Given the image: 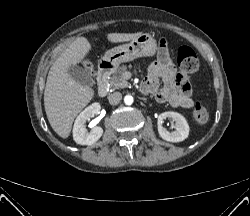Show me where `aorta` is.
Listing matches in <instances>:
<instances>
[{
  "instance_id": "1",
  "label": "aorta",
  "mask_w": 250,
  "mask_h": 216,
  "mask_svg": "<svg viewBox=\"0 0 250 216\" xmlns=\"http://www.w3.org/2000/svg\"><path fill=\"white\" fill-rule=\"evenodd\" d=\"M124 102L126 105H131L133 103V97L131 95L125 96Z\"/></svg>"
}]
</instances>
